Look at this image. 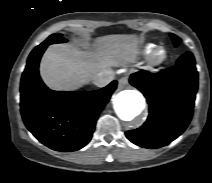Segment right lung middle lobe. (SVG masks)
<instances>
[{
	"mask_svg": "<svg viewBox=\"0 0 212 183\" xmlns=\"http://www.w3.org/2000/svg\"><path fill=\"white\" fill-rule=\"evenodd\" d=\"M49 43L53 44V43H63L66 42V39L62 37V34H53L51 36H49L43 43Z\"/></svg>",
	"mask_w": 212,
	"mask_h": 183,
	"instance_id": "dd1d6c3e",
	"label": "right lung middle lobe"
}]
</instances>
